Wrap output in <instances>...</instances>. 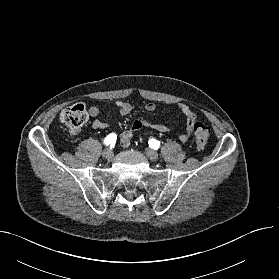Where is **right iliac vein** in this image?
<instances>
[{"mask_svg":"<svg viewBox=\"0 0 279 279\" xmlns=\"http://www.w3.org/2000/svg\"><path fill=\"white\" fill-rule=\"evenodd\" d=\"M102 156H103L105 159L110 160V159H112V157H113V152L111 151L110 148H106V149L103 151Z\"/></svg>","mask_w":279,"mask_h":279,"instance_id":"63e3f726","label":"right iliac vein"}]
</instances>
